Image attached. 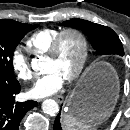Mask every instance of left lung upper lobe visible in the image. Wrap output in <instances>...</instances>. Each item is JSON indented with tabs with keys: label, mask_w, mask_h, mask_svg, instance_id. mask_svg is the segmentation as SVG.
Segmentation results:
<instances>
[{
	"label": "left lung upper lobe",
	"mask_w": 130,
	"mask_h": 130,
	"mask_svg": "<svg viewBox=\"0 0 130 130\" xmlns=\"http://www.w3.org/2000/svg\"><path fill=\"white\" fill-rule=\"evenodd\" d=\"M62 24L83 31L99 55H124L122 43L111 28L83 19H72Z\"/></svg>",
	"instance_id": "1"
}]
</instances>
